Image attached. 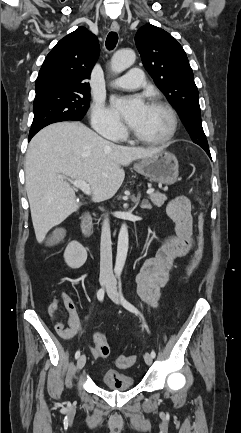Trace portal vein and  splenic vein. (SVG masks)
I'll return each instance as SVG.
<instances>
[{"label":"portal vein and splenic vein","instance_id":"18ae733b","mask_svg":"<svg viewBox=\"0 0 241 433\" xmlns=\"http://www.w3.org/2000/svg\"><path fill=\"white\" fill-rule=\"evenodd\" d=\"M63 178V177H61ZM69 182L75 186L76 188H79L80 190H82L85 194L90 195L91 194V189L89 184H87L86 181L84 180H69ZM154 192L153 188H150L147 190V194H152Z\"/></svg>","mask_w":241,"mask_h":433}]
</instances>
